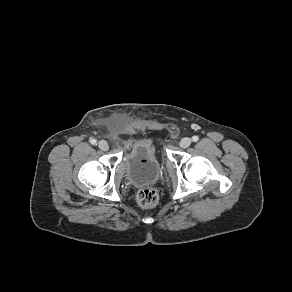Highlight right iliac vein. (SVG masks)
<instances>
[{"mask_svg":"<svg viewBox=\"0 0 292 292\" xmlns=\"http://www.w3.org/2000/svg\"><path fill=\"white\" fill-rule=\"evenodd\" d=\"M98 147L103 151H107L109 149V145L105 140H100L98 142Z\"/></svg>","mask_w":292,"mask_h":292,"instance_id":"1","label":"right iliac vein"}]
</instances>
